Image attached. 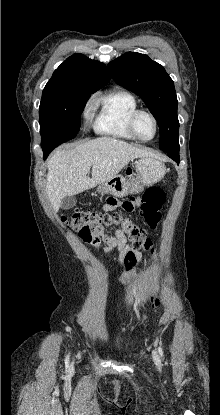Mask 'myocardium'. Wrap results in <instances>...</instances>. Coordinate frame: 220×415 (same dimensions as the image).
I'll return each instance as SVG.
<instances>
[{
	"mask_svg": "<svg viewBox=\"0 0 220 415\" xmlns=\"http://www.w3.org/2000/svg\"><path fill=\"white\" fill-rule=\"evenodd\" d=\"M141 114L149 115L152 118L153 122H154V126H155L154 135L149 139L141 138L138 135L137 131H136V120H137L138 116H140ZM128 127H129V130H130L131 134L134 136L135 139H137L138 141H141V142H149V141L156 138V136L158 134V130H159V123H158L157 117L151 111L144 110V109H137L131 114V116L129 118V122H128Z\"/></svg>",
	"mask_w": 220,
	"mask_h": 415,
	"instance_id": "myocardium-1",
	"label": "myocardium"
}]
</instances>
